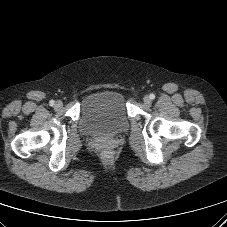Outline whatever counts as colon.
I'll list each match as a JSON object with an SVG mask.
<instances>
[{"mask_svg":"<svg viewBox=\"0 0 227 227\" xmlns=\"http://www.w3.org/2000/svg\"><path fill=\"white\" fill-rule=\"evenodd\" d=\"M103 155H104V157H105L106 159H109V158L112 156V153H111L110 151L107 150V151L104 152Z\"/></svg>","mask_w":227,"mask_h":227,"instance_id":"5ec220e1","label":"colon"}]
</instances>
